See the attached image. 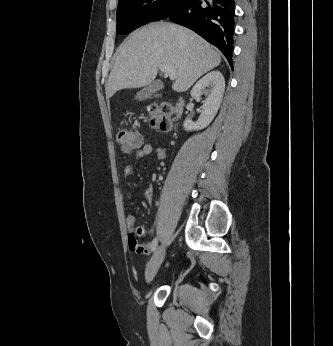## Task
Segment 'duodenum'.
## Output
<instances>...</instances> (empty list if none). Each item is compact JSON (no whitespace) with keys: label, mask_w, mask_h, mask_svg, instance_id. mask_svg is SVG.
<instances>
[{"label":"duodenum","mask_w":333,"mask_h":346,"mask_svg":"<svg viewBox=\"0 0 333 346\" xmlns=\"http://www.w3.org/2000/svg\"><path fill=\"white\" fill-rule=\"evenodd\" d=\"M183 107H184V99L180 97L176 103V118L178 119L182 112H183Z\"/></svg>","instance_id":"duodenum-1"}]
</instances>
